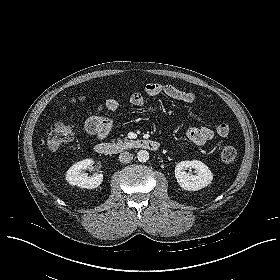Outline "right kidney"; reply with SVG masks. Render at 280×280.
Segmentation results:
<instances>
[{"label": "right kidney", "mask_w": 280, "mask_h": 280, "mask_svg": "<svg viewBox=\"0 0 280 280\" xmlns=\"http://www.w3.org/2000/svg\"><path fill=\"white\" fill-rule=\"evenodd\" d=\"M92 163L91 159H85L73 164L66 173L67 182L80 188H97L103 181V174L90 177L83 173V170L91 166Z\"/></svg>", "instance_id": "ca27d5eb"}]
</instances>
